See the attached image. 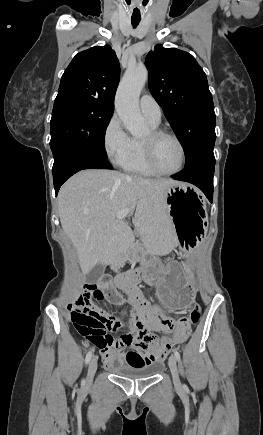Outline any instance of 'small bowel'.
Instances as JSON below:
<instances>
[{"instance_id": "obj_1", "label": "small bowel", "mask_w": 263, "mask_h": 435, "mask_svg": "<svg viewBox=\"0 0 263 435\" xmlns=\"http://www.w3.org/2000/svg\"><path fill=\"white\" fill-rule=\"evenodd\" d=\"M146 268L128 271L117 275L112 288L118 295L112 304L120 305L128 303L132 309L129 314L125 312L119 315L108 314L98 308L92 298L87 295L79 297L75 303L76 308L90 312H98L105 320L106 327L110 330L122 328H149L150 332H165L159 338L164 339V350H99L106 368L117 366H143L152 362H161L167 355H174L179 348L178 335L184 330H191V321H174L170 315L164 312V305L152 304L142 293L139 283ZM123 292L125 298L120 293Z\"/></svg>"}]
</instances>
